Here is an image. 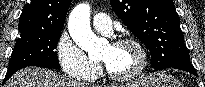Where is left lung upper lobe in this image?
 Masks as SVG:
<instances>
[{
    "label": "left lung upper lobe",
    "instance_id": "obj_1",
    "mask_svg": "<svg viewBox=\"0 0 205 87\" xmlns=\"http://www.w3.org/2000/svg\"><path fill=\"white\" fill-rule=\"evenodd\" d=\"M110 4L149 49L154 70L190 62L172 0H110Z\"/></svg>",
    "mask_w": 205,
    "mask_h": 87
}]
</instances>
